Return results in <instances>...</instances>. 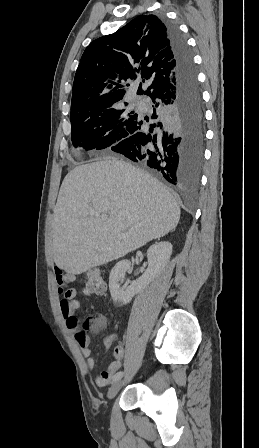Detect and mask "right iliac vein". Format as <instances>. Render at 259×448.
I'll use <instances>...</instances> for the list:
<instances>
[{
  "label": "right iliac vein",
  "mask_w": 259,
  "mask_h": 448,
  "mask_svg": "<svg viewBox=\"0 0 259 448\" xmlns=\"http://www.w3.org/2000/svg\"><path fill=\"white\" fill-rule=\"evenodd\" d=\"M122 385H123L122 380H118L115 383H113V385L109 388L108 395H107L108 398L113 399L117 395L119 390L121 389Z\"/></svg>",
  "instance_id": "right-iliac-vein-1"
}]
</instances>
